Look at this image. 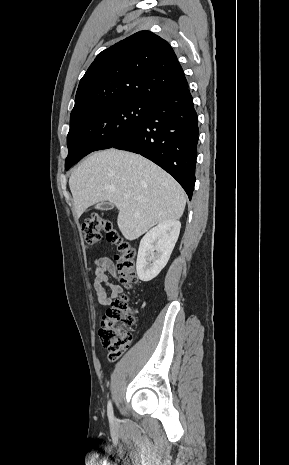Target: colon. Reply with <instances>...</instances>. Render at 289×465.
<instances>
[{"mask_svg": "<svg viewBox=\"0 0 289 465\" xmlns=\"http://www.w3.org/2000/svg\"><path fill=\"white\" fill-rule=\"evenodd\" d=\"M111 243L117 245V269L119 279L127 288L136 282V249L124 240L113 227L112 222L98 214L84 220L81 226L82 240L86 247H92L101 238V233ZM135 310L127 295L117 297L101 316L99 336L107 349L111 361L117 360L128 348L131 339V328L135 323Z\"/></svg>", "mask_w": 289, "mask_h": 465, "instance_id": "5ec220e1", "label": "colon"}]
</instances>
